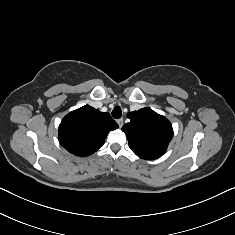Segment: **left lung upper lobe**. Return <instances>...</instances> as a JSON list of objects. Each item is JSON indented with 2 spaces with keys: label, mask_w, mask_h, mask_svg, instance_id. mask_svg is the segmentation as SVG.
Returning <instances> with one entry per match:
<instances>
[{
  "label": "left lung upper lobe",
  "mask_w": 235,
  "mask_h": 235,
  "mask_svg": "<svg viewBox=\"0 0 235 235\" xmlns=\"http://www.w3.org/2000/svg\"><path fill=\"white\" fill-rule=\"evenodd\" d=\"M129 123L123 125L130 149L140 158L153 160L162 156L173 137L172 125L164 116L150 108L128 114Z\"/></svg>",
  "instance_id": "5c2ea615"
}]
</instances>
